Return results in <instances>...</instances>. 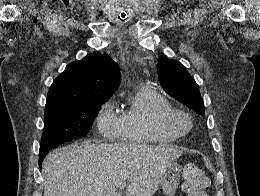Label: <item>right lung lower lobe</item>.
Listing matches in <instances>:
<instances>
[{
  "mask_svg": "<svg viewBox=\"0 0 260 196\" xmlns=\"http://www.w3.org/2000/svg\"><path fill=\"white\" fill-rule=\"evenodd\" d=\"M50 149H40V153H39V165L41 166V162L42 160L44 159V157L46 156L47 152L49 151Z\"/></svg>",
  "mask_w": 260,
  "mask_h": 196,
  "instance_id": "right-lung-lower-lobe-1",
  "label": "right lung lower lobe"
}]
</instances>
